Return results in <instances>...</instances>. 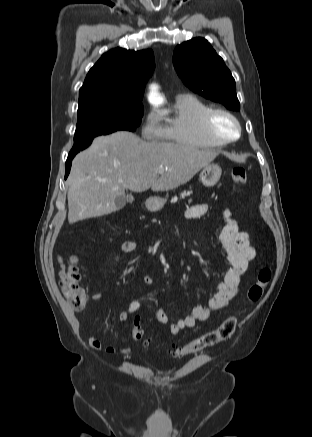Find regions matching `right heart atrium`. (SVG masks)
Wrapping results in <instances>:
<instances>
[{
    "label": "right heart atrium",
    "mask_w": 312,
    "mask_h": 437,
    "mask_svg": "<svg viewBox=\"0 0 312 437\" xmlns=\"http://www.w3.org/2000/svg\"><path fill=\"white\" fill-rule=\"evenodd\" d=\"M141 134L146 140L157 141L163 139V128L158 116L154 112H149L144 117L141 126Z\"/></svg>",
    "instance_id": "obj_1"
}]
</instances>
